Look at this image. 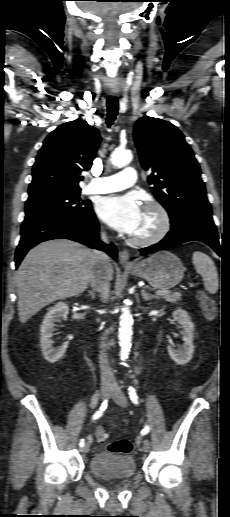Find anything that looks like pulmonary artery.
Masks as SVG:
<instances>
[{"label":"pulmonary artery","instance_id":"e3ab8cb5","mask_svg":"<svg viewBox=\"0 0 230 517\" xmlns=\"http://www.w3.org/2000/svg\"><path fill=\"white\" fill-rule=\"evenodd\" d=\"M136 180L135 169L127 167L120 173L92 179L86 187V192L90 194H105L120 191L133 186Z\"/></svg>","mask_w":230,"mask_h":517}]
</instances>
